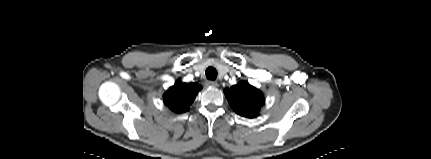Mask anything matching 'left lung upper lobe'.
I'll use <instances>...</instances> for the list:
<instances>
[{
    "instance_id": "1",
    "label": "left lung upper lobe",
    "mask_w": 431,
    "mask_h": 159,
    "mask_svg": "<svg viewBox=\"0 0 431 159\" xmlns=\"http://www.w3.org/2000/svg\"><path fill=\"white\" fill-rule=\"evenodd\" d=\"M225 95L233 110L244 117H255L264 104L262 92L248 82H239L226 89Z\"/></svg>"
}]
</instances>
